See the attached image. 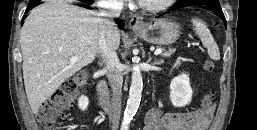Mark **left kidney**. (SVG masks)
<instances>
[{
    "label": "left kidney",
    "instance_id": "5707ae66",
    "mask_svg": "<svg viewBox=\"0 0 257 130\" xmlns=\"http://www.w3.org/2000/svg\"><path fill=\"white\" fill-rule=\"evenodd\" d=\"M189 76L185 73L176 76L170 83V100L175 107L188 105L192 99Z\"/></svg>",
    "mask_w": 257,
    "mask_h": 130
}]
</instances>
